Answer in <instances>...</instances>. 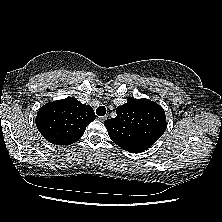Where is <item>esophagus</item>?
Segmentation results:
<instances>
[{"label": "esophagus", "mask_w": 222, "mask_h": 222, "mask_svg": "<svg viewBox=\"0 0 222 222\" xmlns=\"http://www.w3.org/2000/svg\"><path fill=\"white\" fill-rule=\"evenodd\" d=\"M106 119H107V116H99L98 117V120L102 121V122L105 121Z\"/></svg>", "instance_id": "obj_1"}]
</instances>
